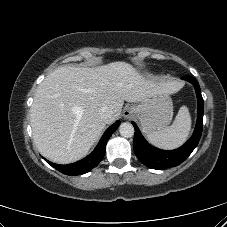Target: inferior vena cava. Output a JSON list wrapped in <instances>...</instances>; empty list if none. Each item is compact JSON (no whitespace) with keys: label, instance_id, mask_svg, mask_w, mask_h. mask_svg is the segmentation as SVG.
<instances>
[{"label":"inferior vena cava","instance_id":"inferior-vena-cava-1","mask_svg":"<svg viewBox=\"0 0 227 227\" xmlns=\"http://www.w3.org/2000/svg\"><path fill=\"white\" fill-rule=\"evenodd\" d=\"M100 115H101V118H102L104 121H108V119L111 118L112 113H111L110 109H109L107 106H103V107L100 109Z\"/></svg>","mask_w":227,"mask_h":227}]
</instances>
